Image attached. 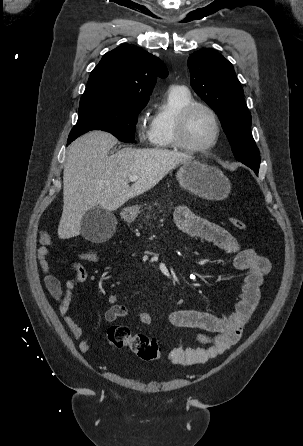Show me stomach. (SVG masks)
<instances>
[{
	"label": "stomach",
	"mask_w": 303,
	"mask_h": 446,
	"mask_svg": "<svg viewBox=\"0 0 303 446\" xmlns=\"http://www.w3.org/2000/svg\"><path fill=\"white\" fill-rule=\"evenodd\" d=\"M176 178L185 190L207 200H224L231 190L229 179L219 169L193 159L180 164ZM139 210L137 205L126 208L122 217L133 221Z\"/></svg>",
	"instance_id": "obj_1"
}]
</instances>
